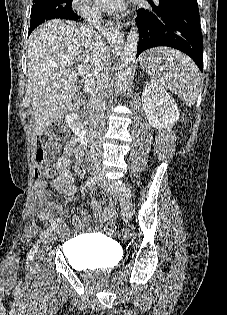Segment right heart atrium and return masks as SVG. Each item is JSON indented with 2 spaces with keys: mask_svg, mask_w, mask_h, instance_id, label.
<instances>
[{
  "mask_svg": "<svg viewBox=\"0 0 227 315\" xmlns=\"http://www.w3.org/2000/svg\"><path fill=\"white\" fill-rule=\"evenodd\" d=\"M72 5L75 12L87 19H94L97 16L96 9L88 0H73Z\"/></svg>",
  "mask_w": 227,
  "mask_h": 315,
  "instance_id": "1",
  "label": "right heart atrium"
}]
</instances>
